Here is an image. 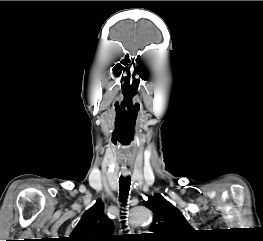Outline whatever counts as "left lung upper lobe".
Listing matches in <instances>:
<instances>
[{"label":"left lung upper lobe","instance_id":"left-lung-upper-lobe-1","mask_svg":"<svg viewBox=\"0 0 263 241\" xmlns=\"http://www.w3.org/2000/svg\"><path fill=\"white\" fill-rule=\"evenodd\" d=\"M144 205L154 213L148 238L153 241H191L195 230L183 214L160 194L148 197Z\"/></svg>","mask_w":263,"mask_h":241}]
</instances>
